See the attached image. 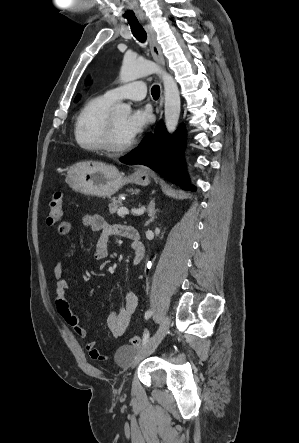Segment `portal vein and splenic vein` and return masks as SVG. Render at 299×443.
<instances>
[{"label":"portal vein and splenic vein","mask_w":299,"mask_h":443,"mask_svg":"<svg viewBox=\"0 0 299 443\" xmlns=\"http://www.w3.org/2000/svg\"><path fill=\"white\" fill-rule=\"evenodd\" d=\"M132 213L133 214H137V215H141V214L144 213V208L139 209V210L133 209ZM117 214L119 216H125V215L129 214V211H128V209L126 207H121V208L118 209Z\"/></svg>","instance_id":"obj_1"}]
</instances>
